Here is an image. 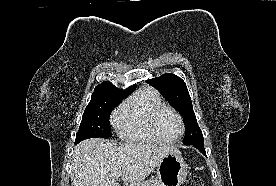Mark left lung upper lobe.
<instances>
[{
    "label": "left lung upper lobe",
    "mask_w": 276,
    "mask_h": 186,
    "mask_svg": "<svg viewBox=\"0 0 276 186\" xmlns=\"http://www.w3.org/2000/svg\"><path fill=\"white\" fill-rule=\"evenodd\" d=\"M147 83L158 89L170 105L183 116L184 124L187 128V133L183 141L184 144L193 145L203 143V134L197 124L186 83L180 77L171 73L147 80Z\"/></svg>",
    "instance_id": "5c2ea615"
}]
</instances>
